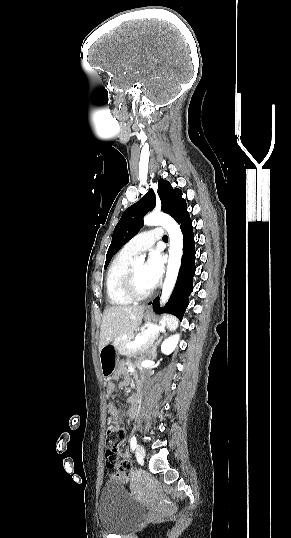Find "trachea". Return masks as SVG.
<instances>
[{
  "mask_svg": "<svg viewBox=\"0 0 291 538\" xmlns=\"http://www.w3.org/2000/svg\"><path fill=\"white\" fill-rule=\"evenodd\" d=\"M163 240H168V237L166 235H164Z\"/></svg>",
  "mask_w": 291,
  "mask_h": 538,
  "instance_id": "1",
  "label": "trachea"
}]
</instances>
